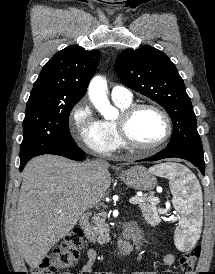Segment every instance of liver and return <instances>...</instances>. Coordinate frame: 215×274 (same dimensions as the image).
<instances>
[{"mask_svg":"<svg viewBox=\"0 0 215 274\" xmlns=\"http://www.w3.org/2000/svg\"><path fill=\"white\" fill-rule=\"evenodd\" d=\"M90 163L43 155L26 164L14 230L29 267H39L83 213L105 196L111 184L108 164L96 168Z\"/></svg>","mask_w":215,"mask_h":274,"instance_id":"obj_1","label":"liver"}]
</instances>
